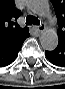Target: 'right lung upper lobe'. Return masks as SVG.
<instances>
[{"mask_svg": "<svg viewBox=\"0 0 65 89\" xmlns=\"http://www.w3.org/2000/svg\"><path fill=\"white\" fill-rule=\"evenodd\" d=\"M20 14L13 0H0V44L11 43L29 35L27 27L21 28L15 22Z\"/></svg>", "mask_w": 65, "mask_h": 89, "instance_id": "1", "label": "right lung upper lobe"}]
</instances>
